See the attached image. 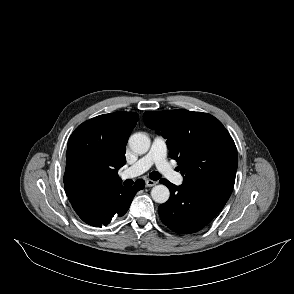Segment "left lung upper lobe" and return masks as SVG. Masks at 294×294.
Listing matches in <instances>:
<instances>
[{
    "label": "left lung upper lobe",
    "instance_id": "left-lung-upper-lobe-1",
    "mask_svg": "<svg viewBox=\"0 0 294 294\" xmlns=\"http://www.w3.org/2000/svg\"><path fill=\"white\" fill-rule=\"evenodd\" d=\"M143 119L147 127L167 139L170 156L184 176V185L210 182L234 185L237 149L217 118L178 109L145 112Z\"/></svg>",
    "mask_w": 294,
    "mask_h": 294
}]
</instances>
